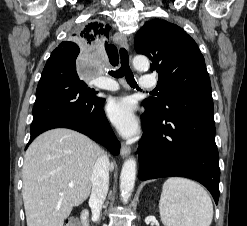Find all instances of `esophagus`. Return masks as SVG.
Returning <instances> with one entry per match:
<instances>
[{
    "label": "esophagus",
    "instance_id": "34e87169",
    "mask_svg": "<svg viewBox=\"0 0 247 226\" xmlns=\"http://www.w3.org/2000/svg\"><path fill=\"white\" fill-rule=\"evenodd\" d=\"M115 41L117 44H119L120 46L128 49L129 46H128V42H127V36L124 34V33H120V32H117L115 34ZM130 147L125 145V144H122L121 146V156L123 158L127 157L129 154H130Z\"/></svg>",
    "mask_w": 247,
    "mask_h": 226
}]
</instances>
